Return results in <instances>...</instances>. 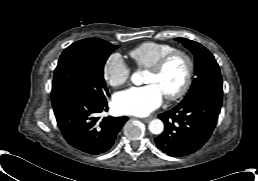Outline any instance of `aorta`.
<instances>
[{"instance_id": "obj_1", "label": "aorta", "mask_w": 258, "mask_h": 181, "mask_svg": "<svg viewBox=\"0 0 258 181\" xmlns=\"http://www.w3.org/2000/svg\"><path fill=\"white\" fill-rule=\"evenodd\" d=\"M131 81L135 85H141L143 83V76L141 71H137L132 74ZM149 131L153 134H161L164 130V124L160 119H154L149 123Z\"/></svg>"}]
</instances>
